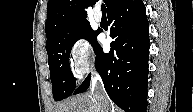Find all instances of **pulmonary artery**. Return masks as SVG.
<instances>
[{
    "label": "pulmonary artery",
    "instance_id": "pulmonary-artery-1",
    "mask_svg": "<svg viewBox=\"0 0 193 112\" xmlns=\"http://www.w3.org/2000/svg\"><path fill=\"white\" fill-rule=\"evenodd\" d=\"M94 19L97 23H100L102 21V15L100 13V11H95L94 13Z\"/></svg>",
    "mask_w": 193,
    "mask_h": 112
}]
</instances>
